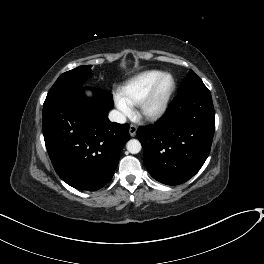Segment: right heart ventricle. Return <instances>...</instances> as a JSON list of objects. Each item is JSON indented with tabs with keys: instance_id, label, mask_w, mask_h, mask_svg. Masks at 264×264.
<instances>
[{
	"instance_id": "1",
	"label": "right heart ventricle",
	"mask_w": 264,
	"mask_h": 264,
	"mask_svg": "<svg viewBox=\"0 0 264 264\" xmlns=\"http://www.w3.org/2000/svg\"><path fill=\"white\" fill-rule=\"evenodd\" d=\"M161 74L155 69L135 74L120 88V95L132 106L136 105Z\"/></svg>"
}]
</instances>
